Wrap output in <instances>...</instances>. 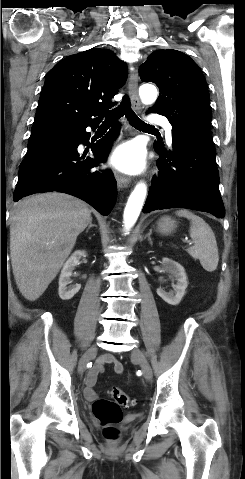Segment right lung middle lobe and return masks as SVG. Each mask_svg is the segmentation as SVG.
Instances as JSON below:
<instances>
[{"instance_id":"dd1d6c3e","label":"right lung middle lobe","mask_w":245,"mask_h":479,"mask_svg":"<svg viewBox=\"0 0 245 479\" xmlns=\"http://www.w3.org/2000/svg\"><path fill=\"white\" fill-rule=\"evenodd\" d=\"M52 131V130H50ZM50 131H39V132H32L31 135H30V138H29V142L33 141V140H36L44 135H46L47 133H49Z\"/></svg>"}]
</instances>
